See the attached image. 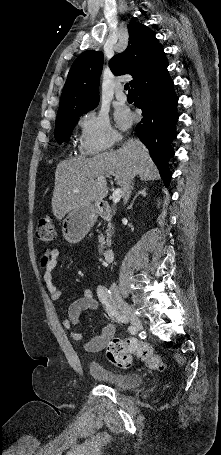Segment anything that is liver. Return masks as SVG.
<instances>
[{
	"instance_id": "1",
	"label": "liver",
	"mask_w": 221,
	"mask_h": 455,
	"mask_svg": "<svg viewBox=\"0 0 221 455\" xmlns=\"http://www.w3.org/2000/svg\"><path fill=\"white\" fill-rule=\"evenodd\" d=\"M113 175L124 196L129 183L136 177L143 181L159 179V172L149 152L139 139L129 138L110 153L89 159L61 161L55 172L52 212L62 219L80 206L100 202L108 195L107 181L98 176Z\"/></svg>"
}]
</instances>
